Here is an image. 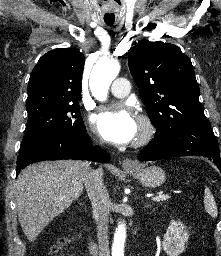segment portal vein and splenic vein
Listing matches in <instances>:
<instances>
[{"mask_svg":"<svg viewBox=\"0 0 221 256\" xmlns=\"http://www.w3.org/2000/svg\"><path fill=\"white\" fill-rule=\"evenodd\" d=\"M169 198H170V196L168 194H161V195H158L156 197H153L152 200L155 201V202H159V201L167 200Z\"/></svg>","mask_w":221,"mask_h":256,"instance_id":"1","label":"portal vein and splenic vein"}]
</instances>
